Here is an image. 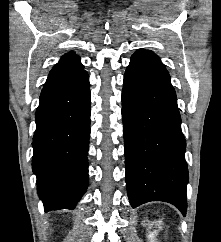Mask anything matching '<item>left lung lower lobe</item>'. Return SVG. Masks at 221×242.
Instances as JSON below:
<instances>
[{
	"label": "left lung lower lobe",
	"instance_id": "obj_1",
	"mask_svg": "<svg viewBox=\"0 0 221 242\" xmlns=\"http://www.w3.org/2000/svg\"><path fill=\"white\" fill-rule=\"evenodd\" d=\"M122 118L131 206L164 201L185 215L186 141L171 83L129 65L124 75Z\"/></svg>",
	"mask_w": 221,
	"mask_h": 242
}]
</instances>
